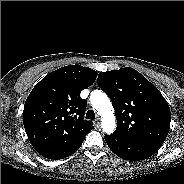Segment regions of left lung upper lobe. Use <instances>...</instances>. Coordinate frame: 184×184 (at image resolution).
<instances>
[{"mask_svg": "<svg viewBox=\"0 0 184 184\" xmlns=\"http://www.w3.org/2000/svg\"><path fill=\"white\" fill-rule=\"evenodd\" d=\"M98 85L112 100L117 119L114 133L157 152L171 121L160 91L131 67L100 72Z\"/></svg>", "mask_w": 184, "mask_h": 184, "instance_id": "5c2ea615", "label": "left lung upper lobe"}]
</instances>
